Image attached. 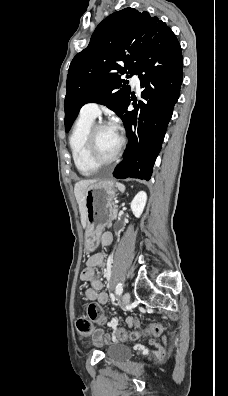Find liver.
<instances>
[{
    "instance_id": "obj_1",
    "label": "liver",
    "mask_w": 228,
    "mask_h": 396,
    "mask_svg": "<svg viewBox=\"0 0 228 396\" xmlns=\"http://www.w3.org/2000/svg\"><path fill=\"white\" fill-rule=\"evenodd\" d=\"M94 182H96V180H81L74 186V194L79 205L81 224L83 228L86 227L85 190L89 184Z\"/></svg>"
}]
</instances>
